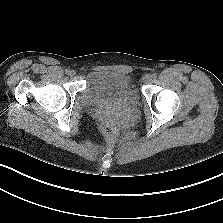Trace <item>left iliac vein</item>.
Listing matches in <instances>:
<instances>
[{
	"label": "left iliac vein",
	"mask_w": 223,
	"mask_h": 223,
	"mask_svg": "<svg viewBox=\"0 0 223 223\" xmlns=\"http://www.w3.org/2000/svg\"><path fill=\"white\" fill-rule=\"evenodd\" d=\"M152 78H153L152 75L147 74V75L144 76V78H143V82H144L145 84H149V83L151 82Z\"/></svg>",
	"instance_id": "obj_1"
}]
</instances>
